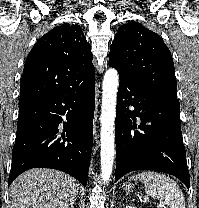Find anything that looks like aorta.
<instances>
[{
	"label": "aorta",
	"mask_w": 199,
	"mask_h": 208,
	"mask_svg": "<svg viewBox=\"0 0 199 208\" xmlns=\"http://www.w3.org/2000/svg\"><path fill=\"white\" fill-rule=\"evenodd\" d=\"M119 85V75L116 69L110 68L103 78L100 157L101 179L107 184L112 175L115 156L114 123L116 116V99Z\"/></svg>",
	"instance_id": "aorta-1"
}]
</instances>
